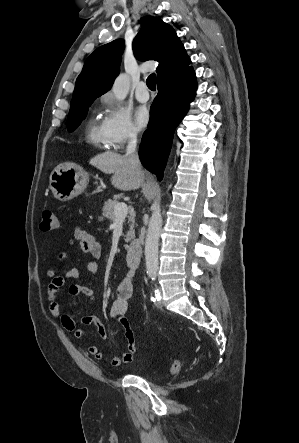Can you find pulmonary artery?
<instances>
[{
	"label": "pulmonary artery",
	"instance_id": "1",
	"mask_svg": "<svg viewBox=\"0 0 299 443\" xmlns=\"http://www.w3.org/2000/svg\"><path fill=\"white\" fill-rule=\"evenodd\" d=\"M136 99L139 102H147L149 100V93L147 90V86L145 82H140L137 86L136 92H135Z\"/></svg>",
	"mask_w": 299,
	"mask_h": 443
}]
</instances>
